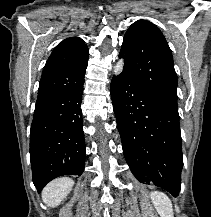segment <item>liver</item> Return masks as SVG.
Listing matches in <instances>:
<instances>
[{"label":"liver","instance_id":"obj_1","mask_svg":"<svg viewBox=\"0 0 211 217\" xmlns=\"http://www.w3.org/2000/svg\"><path fill=\"white\" fill-rule=\"evenodd\" d=\"M74 181L70 178H58L50 182L42 191V200L50 207L58 206L70 193Z\"/></svg>","mask_w":211,"mask_h":217}]
</instances>
